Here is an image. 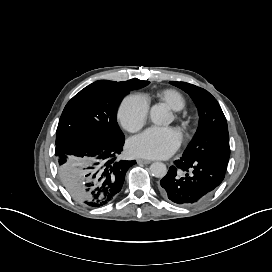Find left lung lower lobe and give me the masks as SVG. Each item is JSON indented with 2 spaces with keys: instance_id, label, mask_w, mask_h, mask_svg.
Segmentation results:
<instances>
[{
  "instance_id": "obj_1",
  "label": "left lung lower lobe",
  "mask_w": 272,
  "mask_h": 272,
  "mask_svg": "<svg viewBox=\"0 0 272 272\" xmlns=\"http://www.w3.org/2000/svg\"><path fill=\"white\" fill-rule=\"evenodd\" d=\"M227 164L211 158L180 159L175 161L167 175L160 181V192L162 196L172 202L191 206L204 199L224 179ZM177 168L188 172L192 168V174L186 177H177Z\"/></svg>"
}]
</instances>
